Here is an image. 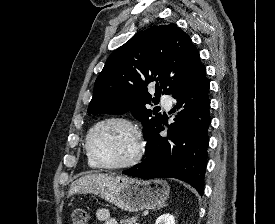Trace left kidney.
I'll use <instances>...</instances> for the list:
<instances>
[{
    "label": "left kidney",
    "mask_w": 275,
    "mask_h": 224,
    "mask_svg": "<svg viewBox=\"0 0 275 224\" xmlns=\"http://www.w3.org/2000/svg\"><path fill=\"white\" fill-rule=\"evenodd\" d=\"M155 224H175V218L171 214H163L157 220Z\"/></svg>",
    "instance_id": "1"
}]
</instances>
